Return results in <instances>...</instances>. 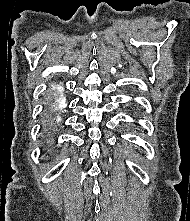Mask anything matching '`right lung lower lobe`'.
<instances>
[{
	"label": "right lung lower lobe",
	"mask_w": 190,
	"mask_h": 221,
	"mask_svg": "<svg viewBox=\"0 0 190 221\" xmlns=\"http://www.w3.org/2000/svg\"><path fill=\"white\" fill-rule=\"evenodd\" d=\"M45 133H48L50 126H51V111L49 109L46 110L45 115Z\"/></svg>",
	"instance_id": "right-lung-lower-lobe-1"
}]
</instances>
